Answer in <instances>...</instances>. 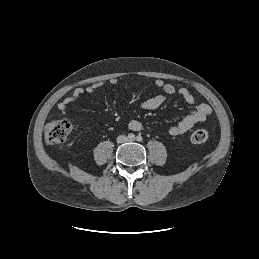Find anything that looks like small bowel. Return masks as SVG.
Listing matches in <instances>:
<instances>
[{"mask_svg": "<svg viewBox=\"0 0 259 259\" xmlns=\"http://www.w3.org/2000/svg\"><path fill=\"white\" fill-rule=\"evenodd\" d=\"M109 83L115 85L117 83V79L112 78L109 80ZM154 84L162 91V93L152 96L143 101L141 107L145 110H156L166 101L168 97L174 95L175 93H177L186 104L190 106H193L195 104L194 96L186 88H179L178 90H176V88L172 84L166 83L162 79H156ZM102 86L103 82H96L85 88L79 87L74 89L69 96L64 98L58 104V109L62 113H67L70 104H72L85 94H92L95 90L101 88ZM211 114L212 109L208 104H197L181 121L172 125L169 128L168 132L171 136H179L185 134L196 124L204 122ZM128 127L133 131H140L143 129V123L139 120H131L128 124Z\"/></svg>", "mask_w": 259, "mask_h": 259, "instance_id": "obj_1", "label": "small bowel"}]
</instances>
